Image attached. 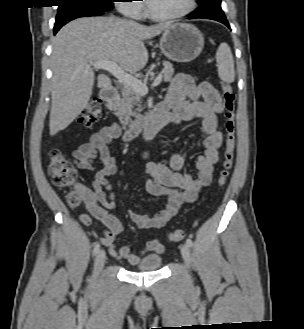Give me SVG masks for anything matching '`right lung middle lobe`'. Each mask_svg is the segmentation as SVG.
<instances>
[{
  "label": "right lung middle lobe",
  "instance_id": "1",
  "mask_svg": "<svg viewBox=\"0 0 304 329\" xmlns=\"http://www.w3.org/2000/svg\"><path fill=\"white\" fill-rule=\"evenodd\" d=\"M56 20L81 10L108 11L113 8V0H58Z\"/></svg>",
  "mask_w": 304,
  "mask_h": 329
}]
</instances>
